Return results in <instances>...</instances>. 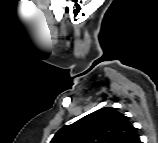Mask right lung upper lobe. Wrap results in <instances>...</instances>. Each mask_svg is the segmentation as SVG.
Returning <instances> with one entry per match:
<instances>
[{
  "mask_svg": "<svg viewBox=\"0 0 158 143\" xmlns=\"http://www.w3.org/2000/svg\"><path fill=\"white\" fill-rule=\"evenodd\" d=\"M136 128L115 108L104 107L61 128L50 143H139Z\"/></svg>",
  "mask_w": 158,
  "mask_h": 143,
  "instance_id": "cb5924a9",
  "label": "right lung upper lobe"
}]
</instances>
